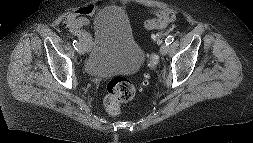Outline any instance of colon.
Instances as JSON below:
<instances>
[{
	"label": "colon",
	"instance_id": "obj_1",
	"mask_svg": "<svg viewBox=\"0 0 253 143\" xmlns=\"http://www.w3.org/2000/svg\"><path fill=\"white\" fill-rule=\"evenodd\" d=\"M158 25L156 21H150L148 27L154 28ZM171 32V29H165L155 34L154 43H161L163 39ZM156 54L149 56V67L153 69L157 64ZM150 74H147L143 80V85L149 82ZM135 86L126 78L118 77L111 80L107 87L105 97V108L110 115L117 116L120 113V105L133 99L135 95Z\"/></svg>",
	"mask_w": 253,
	"mask_h": 143
}]
</instances>
